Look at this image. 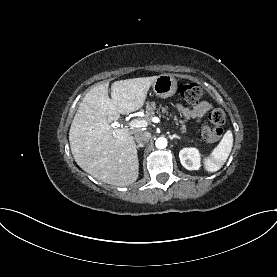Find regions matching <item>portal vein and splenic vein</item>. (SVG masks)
Here are the masks:
<instances>
[{
  "label": "portal vein and splenic vein",
  "instance_id": "portal-vein-and-splenic-vein-1",
  "mask_svg": "<svg viewBox=\"0 0 277 277\" xmlns=\"http://www.w3.org/2000/svg\"><path fill=\"white\" fill-rule=\"evenodd\" d=\"M154 123H159L160 119L158 117H152L151 119ZM148 121L145 119H133L130 121L129 126L132 128H142L147 127Z\"/></svg>",
  "mask_w": 277,
  "mask_h": 277
}]
</instances>
